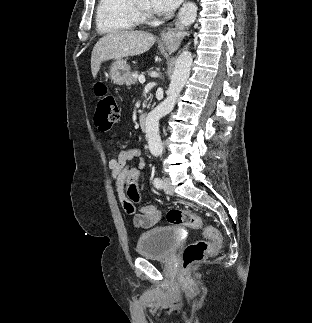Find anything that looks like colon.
Instances as JSON below:
<instances>
[{
    "instance_id": "5ec220e1",
    "label": "colon",
    "mask_w": 312,
    "mask_h": 323,
    "mask_svg": "<svg viewBox=\"0 0 312 323\" xmlns=\"http://www.w3.org/2000/svg\"><path fill=\"white\" fill-rule=\"evenodd\" d=\"M101 92L106 93L105 86H98ZM120 107L117 104L115 98L111 94H105L98 100V105L95 113V125L98 130L105 132L111 129L119 120ZM128 177L126 179L129 184L127 194L129 199L122 201L123 209L133 214L134 204L139 202V192L136 186L137 179L140 174L137 168H130L128 170ZM140 213H154L158 211V208L154 206H148V204H141L138 208ZM168 223L172 225H187L193 230H202L204 235L210 239V241H196L189 244L183 252V262H181V269H190L192 264L203 261L206 257L212 256L223 245V239L217 235V232L211 228L203 227L200 217L194 214L192 211L183 210L179 208H171L167 212Z\"/></svg>"
}]
</instances>
